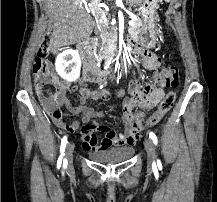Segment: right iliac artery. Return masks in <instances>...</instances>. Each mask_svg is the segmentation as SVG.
Masks as SVG:
<instances>
[{
	"label": "right iliac artery",
	"mask_w": 217,
	"mask_h": 202,
	"mask_svg": "<svg viewBox=\"0 0 217 202\" xmlns=\"http://www.w3.org/2000/svg\"><path fill=\"white\" fill-rule=\"evenodd\" d=\"M66 144H67V137L64 136L63 139L61 140V145H60L61 155L59 156L57 163H62V159L65 155L64 151H65ZM63 163H67V160L63 159Z\"/></svg>",
	"instance_id": "right-iliac-artery-1"
}]
</instances>
